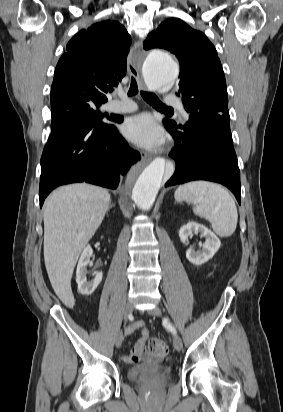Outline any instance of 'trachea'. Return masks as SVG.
<instances>
[{
    "instance_id": "3493384b",
    "label": "trachea",
    "mask_w": 283,
    "mask_h": 412,
    "mask_svg": "<svg viewBox=\"0 0 283 412\" xmlns=\"http://www.w3.org/2000/svg\"><path fill=\"white\" fill-rule=\"evenodd\" d=\"M137 93H138V85H137L136 80L132 77L131 78L130 88H129V91H128V95L129 96H134ZM140 93H141V96L143 97V99L147 103H149L150 105H153V106H155L157 108H160V109H164V110L173 112V108L164 105L154 93L145 92V91H141Z\"/></svg>"
}]
</instances>
